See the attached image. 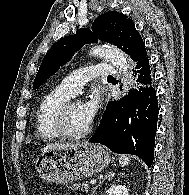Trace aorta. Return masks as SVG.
Listing matches in <instances>:
<instances>
[{
    "label": "aorta",
    "instance_id": "obj_1",
    "mask_svg": "<svg viewBox=\"0 0 189 195\" xmlns=\"http://www.w3.org/2000/svg\"><path fill=\"white\" fill-rule=\"evenodd\" d=\"M94 56L107 57L119 69L124 78L129 77V66L125 54L113 46H98L92 49Z\"/></svg>",
    "mask_w": 189,
    "mask_h": 195
}]
</instances>
